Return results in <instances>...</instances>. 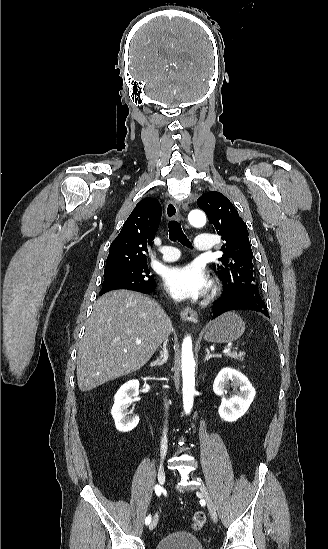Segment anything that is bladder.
<instances>
[{
    "label": "bladder",
    "mask_w": 328,
    "mask_h": 549,
    "mask_svg": "<svg viewBox=\"0 0 328 549\" xmlns=\"http://www.w3.org/2000/svg\"><path fill=\"white\" fill-rule=\"evenodd\" d=\"M155 549H205L203 542L188 532H172L160 540Z\"/></svg>",
    "instance_id": "1"
}]
</instances>
